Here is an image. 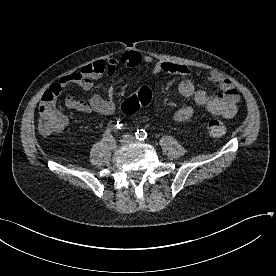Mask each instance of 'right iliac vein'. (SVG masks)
<instances>
[{
  "label": "right iliac vein",
  "mask_w": 276,
  "mask_h": 276,
  "mask_svg": "<svg viewBox=\"0 0 276 276\" xmlns=\"http://www.w3.org/2000/svg\"><path fill=\"white\" fill-rule=\"evenodd\" d=\"M109 149L110 150H116L117 149V143L115 140L111 141L108 143Z\"/></svg>",
  "instance_id": "63e3f726"
}]
</instances>
